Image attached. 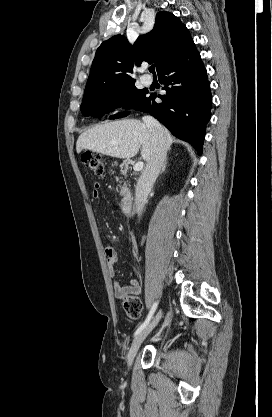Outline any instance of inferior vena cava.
Returning a JSON list of instances; mask_svg holds the SVG:
<instances>
[{"mask_svg": "<svg viewBox=\"0 0 272 417\" xmlns=\"http://www.w3.org/2000/svg\"><path fill=\"white\" fill-rule=\"evenodd\" d=\"M151 135V156L142 172L135 190L136 212L140 216L151 191L166 159V144L164 130L161 124L151 116L142 118Z\"/></svg>", "mask_w": 272, "mask_h": 417, "instance_id": "1", "label": "inferior vena cava"}]
</instances>
